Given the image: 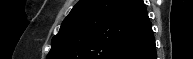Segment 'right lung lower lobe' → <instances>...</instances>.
Instances as JSON below:
<instances>
[{
	"label": "right lung lower lobe",
	"mask_w": 193,
	"mask_h": 59,
	"mask_svg": "<svg viewBox=\"0 0 193 59\" xmlns=\"http://www.w3.org/2000/svg\"><path fill=\"white\" fill-rule=\"evenodd\" d=\"M122 59H156L154 36L152 35L141 47Z\"/></svg>",
	"instance_id": "right-lung-lower-lobe-1"
}]
</instances>
